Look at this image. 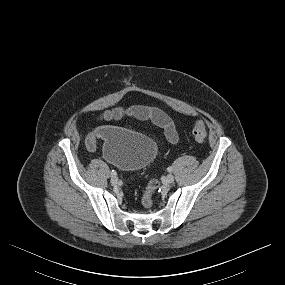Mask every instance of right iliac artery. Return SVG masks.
<instances>
[{
    "label": "right iliac artery",
    "instance_id": "82829eb1",
    "mask_svg": "<svg viewBox=\"0 0 285 285\" xmlns=\"http://www.w3.org/2000/svg\"><path fill=\"white\" fill-rule=\"evenodd\" d=\"M111 175H112V176H116V175H117V172H116L115 170H112Z\"/></svg>",
    "mask_w": 285,
    "mask_h": 285
}]
</instances>
